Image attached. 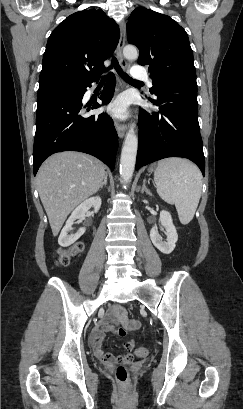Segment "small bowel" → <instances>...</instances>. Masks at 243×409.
<instances>
[{
	"label": "small bowel",
	"instance_id": "c3829d8e",
	"mask_svg": "<svg viewBox=\"0 0 243 409\" xmlns=\"http://www.w3.org/2000/svg\"><path fill=\"white\" fill-rule=\"evenodd\" d=\"M124 324L127 329L134 330L138 327L137 321H128L125 308L122 305L112 306L103 316L99 327L94 329L89 337V346L96 358L105 364H112L116 361L129 363L133 358V349L135 343L133 340L123 342L126 354L122 357H114L102 349V341L106 333L112 332L115 327Z\"/></svg>",
	"mask_w": 243,
	"mask_h": 409
}]
</instances>
